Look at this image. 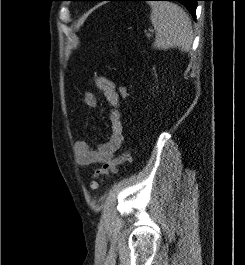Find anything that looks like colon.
<instances>
[{"mask_svg":"<svg viewBox=\"0 0 245 265\" xmlns=\"http://www.w3.org/2000/svg\"><path fill=\"white\" fill-rule=\"evenodd\" d=\"M119 93L121 95L122 98H126L128 96V89L124 86L119 88ZM129 157L128 152H123L121 153L119 156L115 157L114 159L105 162L102 167H100L99 169H97L93 175V178L90 182V187L92 189H97L98 188V180L102 177V176H106L109 175L111 173H114L117 171V168L123 163L125 162Z\"/></svg>","mask_w":245,"mask_h":265,"instance_id":"colon-1","label":"colon"}]
</instances>
